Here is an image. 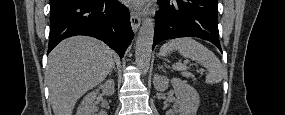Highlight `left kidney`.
Here are the masks:
<instances>
[{
	"label": "left kidney",
	"mask_w": 285,
	"mask_h": 115,
	"mask_svg": "<svg viewBox=\"0 0 285 115\" xmlns=\"http://www.w3.org/2000/svg\"><path fill=\"white\" fill-rule=\"evenodd\" d=\"M171 84L174 88L177 100L174 104L175 111H170V115H196L200 99L197 91L186 81L173 78ZM169 79L165 76L155 75L154 86L158 91H164L168 88Z\"/></svg>",
	"instance_id": "1"
}]
</instances>
